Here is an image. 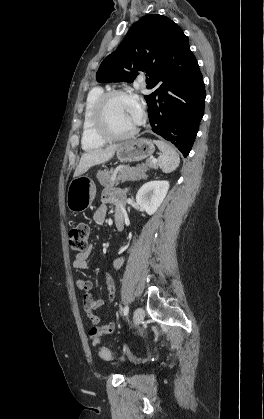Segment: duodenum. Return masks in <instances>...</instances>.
<instances>
[{
    "instance_id": "1",
    "label": "duodenum",
    "mask_w": 264,
    "mask_h": 419,
    "mask_svg": "<svg viewBox=\"0 0 264 419\" xmlns=\"http://www.w3.org/2000/svg\"><path fill=\"white\" fill-rule=\"evenodd\" d=\"M115 225L118 230H122L124 227V218L121 215L115 217Z\"/></svg>"
}]
</instances>
